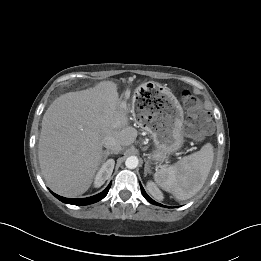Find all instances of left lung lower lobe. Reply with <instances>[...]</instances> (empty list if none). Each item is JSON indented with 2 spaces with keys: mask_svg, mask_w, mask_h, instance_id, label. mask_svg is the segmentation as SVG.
<instances>
[{
  "mask_svg": "<svg viewBox=\"0 0 261 261\" xmlns=\"http://www.w3.org/2000/svg\"><path fill=\"white\" fill-rule=\"evenodd\" d=\"M140 188H141V192H142L143 196L147 199V201H149V202L152 203V204L158 205V206L166 207V206H163L162 204H159V203L155 202L154 200H152V199L147 195V193L145 192V190H144V188L142 187V185H140Z\"/></svg>",
  "mask_w": 261,
  "mask_h": 261,
  "instance_id": "obj_1",
  "label": "left lung lower lobe"
}]
</instances>
